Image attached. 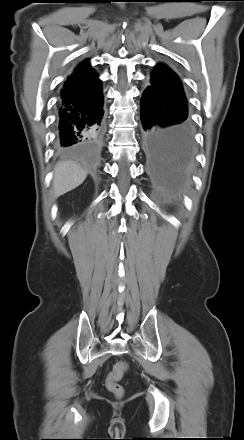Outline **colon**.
Segmentation results:
<instances>
[{"instance_id": "colon-1", "label": "colon", "mask_w": 244, "mask_h": 440, "mask_svg": "<svg viewBox=\"0 0 244 440\" xmlns=\"http://www.w3.org/2000/svg\"><path fill=\"white\" fill-rule=\"evenodd\" d=\"M127 369V363L124 361L118 362L106 378V387L116 397L120 398L124 394V389L119 383L124 372Z\"/></svg>"}]
</instances>
